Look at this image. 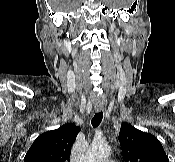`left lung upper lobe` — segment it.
<instances>
[{
    "label": "left lung upper lobe",
    "mask_w": 175,
    "mask_h": 162,
    "mask_svg": "<svg viewBox=\"0 0 175 162\" xmlns=\"http://www.w3.org/2000/svg\"><path fill=\"white\" fill-rule=\"evenodd\" d=\"M119 142L125 162H169L160 141L152 134L123 123Z\"/></svg>",
    "instance_id": "obj_1"
}]
</instances>
